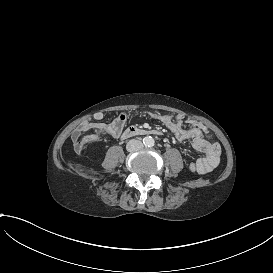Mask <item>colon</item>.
<instances>
[{
    "instance_id": "obj_1",
    "label": "colon",
    "mask_w": 273,
    "mask_h": 273,
    "mask_svg": "<svg viewBox=\"0 0 273 273\" xmlns=\"http://www.w3.org/2000/svg\"><path fill=\"white\" fill-rule=\"evenodd\" d=\"M91 122H93V121H91ZM85 133H86V130L82 126H78L74 130L72 144L74 147H76L80 151H84L88 147L87 142L85 140H83Z\"/></svg>"
}]
</instances>
